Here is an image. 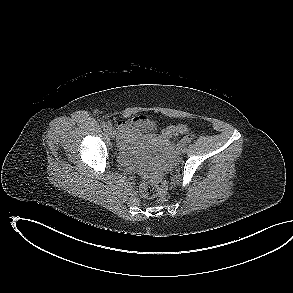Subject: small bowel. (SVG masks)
<instances>
[{
	"label": "small bowel",
	"instance_id": "obj_1",
	"mask_svg": "<svg viewBox=\"0 0 293 293\" xmlns=\"http://www.w3.org/2000/svg\"><path fill=\"white\" fill-rule=\"evenodd\" d=\"M146 118L143 116L136 117L132 119L130 123L128 122H119L117 127L120 132L121 138H125V136L130 132L131 127L138 125L142 122H145Z\"/></svg>",
	"mask_w": 293,
	"mask_h": 293
}]
</instances>
